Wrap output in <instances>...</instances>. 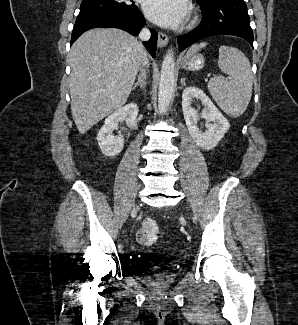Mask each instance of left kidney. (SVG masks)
Here are the masks:
<instances>
[{
    "mask_svg": "<svg viewBox=\"0 0 298 325\" xmlns=\"http://www.w3.org/2000/svg\"><path fill=\"white\" fill-rule=\"evenodd\" d=\"M194 98L201 100L204 106L200 114H198L196 108L191 106ZM182 112L190 136H192L197 146H201L205 150L214 148L230 128L229 120L223 116L222 112L215 106L211 98L205 94L204 90L197 88V86H185L182 92ZM198 116L206 118L209 122L208 130H205V132H202L201 128L197 126Z\"/></svg>",
    "mask_w": 298,
    "mask_h": 325,
    "instance_id": "left-kidney-1",
    "label": "left kidney"
}]
</instances>
